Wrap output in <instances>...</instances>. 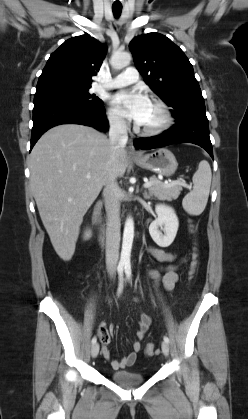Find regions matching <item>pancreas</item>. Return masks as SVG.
<instances>
[{
  "instance_id": "cf45deb5",
  "label": "pancreas",
  "mask_w": 248,
  "mask_h": 419,
  "mask_svg": "<svg viewBox=\"0 0 248 419\" xmlns=\"http://www.w3.org/2000/svg\"><path fill=\"white\" fill-rule=\"evenodd\" d=\"M150 181L154 182V184L149 187V192L159 200H176L182 191L180 184H165L154 176L150 177Z\"/></svg>"
}]
</instances>
